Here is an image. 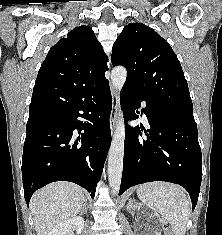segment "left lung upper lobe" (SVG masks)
Wrapping results in <instances>:
<instances>
[{"label": "left lung upper lobe", "instance_id": "5c2ea615", "mask_svg": "<svg viewBox=\"0 0 222 235\" xmlns=\"http://www.w3.org/2000/svg\"><path fill=\"white\" fill-rule=\"evenodd\" d=\"M111 62L127 68L124 85L147 101L193 117L181 64L169 43L141 23L128 24L113 45Z\"/></svg>", "mask_w": 222, "mask_h": 235}]
</instances>
